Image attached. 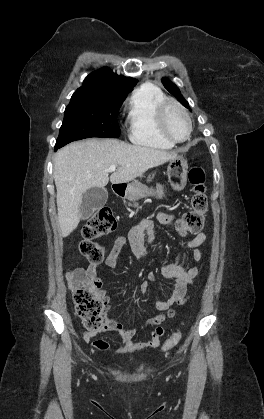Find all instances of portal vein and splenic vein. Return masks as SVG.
<instances>
[{
    "label": "portal vein and splenic vein",
    "mask_w": 264,
    "mask_h": 419,
    "mask_svg": "<svg viewBox=\"0 0 264 419\" xmlns=\"http://www.w3.org/2000/svg\"><path fill=\"white\" fill-rule=\"evenodd\" d=\"M116 170V166L115 165H111L106 171L107 172H114Z\"/></svg>",
    "instance_id": "18ae733b"
}]
</instances>
